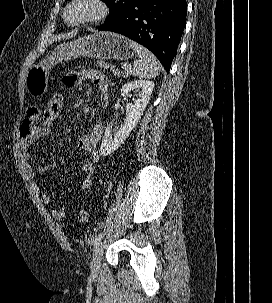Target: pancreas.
<instances>
[{
    "instance_id": "1",
    "label": "pancreas",
    "mask_w": 272,
    "mask_h": 303,
    "mask_svg": "<svg viewBox=\"0 0 272 303\" xmlns=\"http://www.w3.org/2000/svg\"><path fill=\"white\" fill-rule=\"evenodd\" d=\"M112 72L117 76H119L122 73L123 77H129L132 74V71L130 69H125L124 67L122 72L114 68H112Z\"/></svg>"
}]
</instances>
